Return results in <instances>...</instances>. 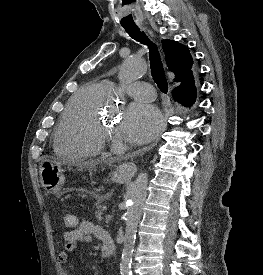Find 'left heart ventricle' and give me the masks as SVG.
Instances as JSON below:
<instances>
[{"label":"left heart ventricle","instance_id":"obj_1","mask_svg":"<svg viewBox=\"0 0 263 275\" xmlns=\"http://www.w3.org/2000/svg\"><path fill=\"white\" fill-rule=\"evenodd\" d=\"M106 124H107L108 127H110V128L113 130V127H114L113 124H114V123H113L112 119L106 120Z\"/></svg>","mask_w":263,"mask_h":275}]
</instances>
